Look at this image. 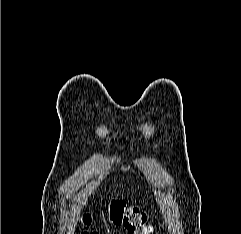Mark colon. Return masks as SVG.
Instances as JSON below:
<instances>
[{
  "label": "colon",
  "mask_w": 241,
  "mask_h": 234,
  "mask_svg": "<svg viewBox=\"0 0 241 234\" xmlns=\"http://www.w3.org/2000/svg\"><path fill=\"white\" fill-rule=\"evenodd\" d=\"M109 220L116 225H122L129 234L152 233V227L148 223L146 214L136 207H127L120 201H112L110 203ZM83 222L89 224L91 222L90 215H85Z\"/></svg>",
  "instance_id": "obj_1"
}]
</instances>
